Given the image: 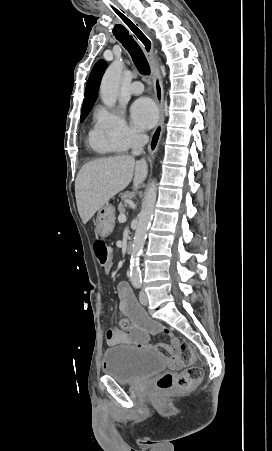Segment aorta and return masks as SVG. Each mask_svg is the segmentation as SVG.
<instances>
[{
    "label": "aorta",
    "instance_id": "762f6f07",
    "mask_svg": "<svg viewBox=\"0 0 272 451\" xmlns=\"http://www.w3.org/2000/svg\"><path fill=\"white\" fill-rule=\"evenodd\" d=\"M122 58H115L114 62L108 66L100 84V98L108 108H113L117 102V92L119 80L123 70ZM157 198L156 182H152L142 204V210L138 214V226L135 231L132 253L130 259V277L131 281H140L141 273L139 267V255L144 247V241L147 229L154 214V208Z\"/></svg>",
    "mask_w": 272,
    "mask_h": 451
}]
</instances>
